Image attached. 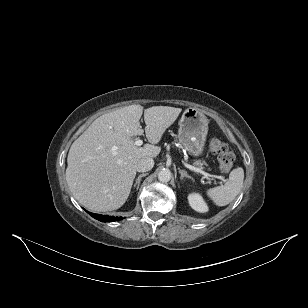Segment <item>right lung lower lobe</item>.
Returning <instances> with one entry per match:
<instances>
[{
	"label": "right lung lower lobe",
	"mask_w": 308,
	"mask_h": 308,
	"mask_svg": "<svg viewBox=\"0 0 308 308\" xmlns=\"http://www.w3.org/2000/svg\"><path fill=\"white\" fill-rule=\"evenodd\" d=\"M90 215L102 222H114V221H118L121 220L122 218L120 217H114V216H106V215H100V214H91Z\"/></svg>",
	"instance_id": "right-lung-lower-lobe-1"
}]
</instances>
